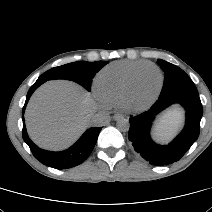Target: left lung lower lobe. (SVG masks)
I'll use <instances>...</instances> for the list:
<instances>
[{
	"label": "left lung lower lobe",
	"instance_id": "left-lung-lower-lobe-1",
	"mask_svg": "<svg viewBox=\"0 0 212 212\" xmlns=\"http://www.w3.org/2000/svg\"><path fill=\"white\" fill-rule=\"evenodd\" d=\"M175 103L181 104L186 111L185 127L168 145L156 144L150 137L152 122L157 114ZM202 115L203 108L198 94L180 92L159 97L148 111L130 117L128 138L134 150L151 165H169L178 161L197 140Z\"/></svg>",
	"mask_w": 212,
	"mask_h": 212
}]
</instances>
